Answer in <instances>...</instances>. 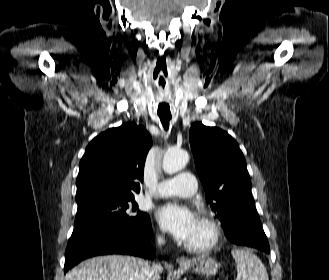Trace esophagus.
<instances>
[{"instance_id": "34e87169", "label": "esophagus", "mask_w": 329, "mask_h": 280, "mask_svg": "<svg viewBox=\"0 0 329 280\" xmlns=\"http://www.w3.org/2000/svg\"><path fill=\"white\" fill-rule=\"evenodd\" d=\"M177 263H178L179 265H187V264L190 263V261H189L188 258H186V257H184V256H181V257L177 258Z\"/></svg>"}]
</instances>
